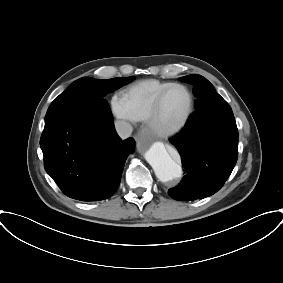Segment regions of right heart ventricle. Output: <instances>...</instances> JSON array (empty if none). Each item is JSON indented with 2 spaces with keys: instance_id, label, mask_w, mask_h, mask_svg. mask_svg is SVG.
Listing matches in <instances>:
<instances>
[{
  "instance_id": "1",
  "label": "right heart ventricle",
  "mask_w": 283,
  "mask_h": 283,
  "mask_svg": "<svg viewBox=\"0 0 283 283\" xmlns=\"http://www.w3.org/2000/svg\"><path fill=\"white\" fill-rule=\"evenodd\" d=\"M171 84L158 79L142 80L123 91L120 97L135 121H147L156 97Z\"/></svg>"
}]
</instances>
